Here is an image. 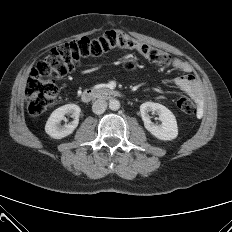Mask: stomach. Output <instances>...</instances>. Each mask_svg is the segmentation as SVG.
<instances>
[{"mask_svg": "<svg viewBox=\"0 0 232 232\" xmlns=\"http://www.w3.org/2000/svg\"><path fill=\"white\" fill-rule=\"evenodd\" d=\"M125 63H126V65H127V67H129V68H135L136 67V60H134V59H127L126 61H125Z\"/></svg>", "mask_w": 232, "mask_h": 232, "instance_id": "1", "label": "stomach"}]
</instances>
